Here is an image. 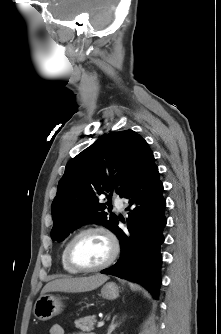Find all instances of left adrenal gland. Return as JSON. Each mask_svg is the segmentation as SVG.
I'll return each instance as SVG.
<instances>
[{"mask_svg": "<svg viewBox=\"0 0 221 334\" xmlns=\"http://www.w3.org/2000/svg\"><path fill=\"white\" fill-rule=\"evenodd\" d=\"M117 316H114L113 319H112V322L108 328V331H107V334H111L116 327H118L120 325V323H115V319H116Z\"/></svg>", "mask_w": 221, "mask_h": 334, "instance_id": "obj_1", "label": "left adrenal gland"}]
</instances>
